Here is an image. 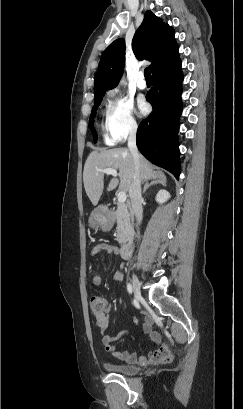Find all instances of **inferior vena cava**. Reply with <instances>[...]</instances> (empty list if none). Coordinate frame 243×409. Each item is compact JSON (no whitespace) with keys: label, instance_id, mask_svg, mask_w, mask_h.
<instances>
[{"label":"inferior vena cava","instance_id":"1","mask_svg":"<svg viewBox=\"0 0 243 409\" xmlns=\"http://www.w3.org/2000/svg\"><path fill=\"white\" fill-rule=\"evenodd\" d=\"M136 132L137 126H133L130 129L128 137V148L134 160V176L133 182L129 189V195L132 203V211L135 214L137 224H140L142 220V194H141V164H140V155L136 146Z\"/></svg>","mask_w":243,"mask_h":409}]
</instances>
